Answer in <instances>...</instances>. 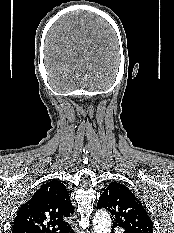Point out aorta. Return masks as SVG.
Wrapping results in <instances>:
<instances>
[{
    "label": "aorta",
    "mask_w": 174,
    "mask_h": 233,
    "mask_svg": "<svg viewBox=\"0 0 174 233\" xmlns=\"http://www.w3.org/2000/svg\"><path fill=\"white\" fill-rule=\"evenodd\" d=\"M94 233H110L111 232V218L107 211L98 210L93 219Z\"/></svg>",
    "instance_id": "1"
}]
</instances>
